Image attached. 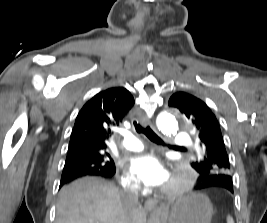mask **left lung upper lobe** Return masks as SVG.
I'll return each mask as SVG.
<instances>
[{"label": "left lung upper lobe", "instance_id": "left-lung-upper-lobe-1", "mask_svg": "<svg viewBox=\"0 0 267 223\" xmlns=\"http://www.w3.org/2000/svg\"><path fill=\"white\" fill-rule=\"evenodd\" d=\"M168 104L180 110L200 139L203 154L191 166L198 173H230L220 126L210 108L197 97L185 92L173 94Z\"/></svg>", "mask_w": 267, "mask_h": 223}]
</instances>
